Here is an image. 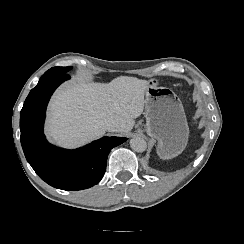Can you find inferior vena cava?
Returning <instances> with one entry per match:
<instances>
[{
	"label": "inferior vena cava",
	"mask_w": 244,
	"mask_h": 244,
	"mask_svg": "<svg viewBox=\"0 0 244 244\" xmlns=\"http://www.w3.org/2000/svg\"><path fill=\"white\" fill-rule=\"evenodd\" d=\"M103 126L109 132H117L120 128L119 124L114 121H104Z\"/></svg>",
	"instance_id": "inferior-vena-cava-1"
}]
</instances>
